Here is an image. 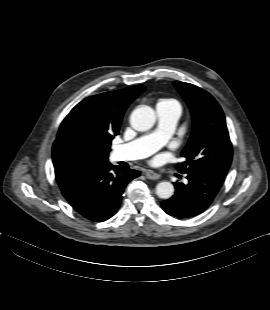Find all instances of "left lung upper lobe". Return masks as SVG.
<instances>
[{
  "label": "left lung upper lobe",
  "mask_w": 270,
  "mask_h": 310,
  "mask_svg": "<svg viewBox=\"0 0 270 310\" xmlns=\"http://www.w3.org/2000/svg\"><path fill=\"white\" fill-rule=\"evenodd\" d=\"M193 116V131L181 155L185 161L177 165L181 173L200 171L225 177L232 160V146L223 111L205 90L175 81Z\"/></svg>",
  "instance_id": "left-lung-upper-lobe-1"
}]
</instances>
